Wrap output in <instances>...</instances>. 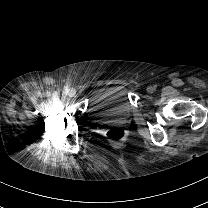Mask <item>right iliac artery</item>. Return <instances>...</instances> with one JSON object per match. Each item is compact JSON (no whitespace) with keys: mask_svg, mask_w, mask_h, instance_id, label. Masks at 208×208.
<instances>
[{"mask_svg":"<svg viewBox=\"0 0 208 208\" xmlns=\"http://www.w3.org/2000/svg\"><path fill=\"white\" fill-rule=\"evenodd\" d=\"M65 91L68 92V88L67 87L65 88Z\"/></svg>","mask_w":208,"mask_h":208,"instance_id":"1","label":"right iliac artery"}]
</instances>
